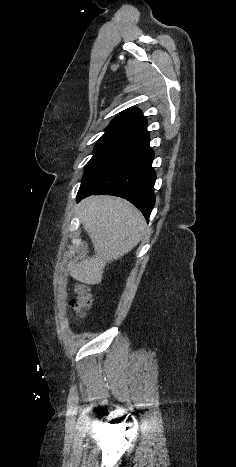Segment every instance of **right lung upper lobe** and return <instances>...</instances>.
Returning <instances> with one entry per match:
<instances>
[{
  "mask_svg": "<svg viewBox=\"0 0 236 467\" xmlns=\"http://www.w3.org/2000/svg\"><path fill=\"white\" fill-rule=\"evenodd\" d=\"M107 128L123 129L143 135L147 133V122L141 111L132 107L119 113Z\"/></svg>",
  "mask_w": 236,
  "mask_h": 467,
  "instance_id": "obj_1",
  "label": "right lung upper lobe"
}]
</instances>
